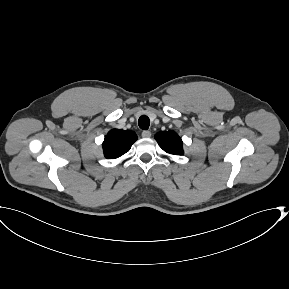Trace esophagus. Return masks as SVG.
<instances>
[{
    "label": "esophagus",
    "mask_w": 289,
    "mask_h": 289,
    "mask_svg": "<svg viewBox=\"0 0 289 289\" xmlns=\"http://www.w3.org/2000/svg\"><path fill=\"white\" fill-rule=\"evenodd\" d=\"M142 137H143V138H149V137H151V132L148 131V130L143 131V132H142Z\"/></svg>",
    "instance_id": "esophagus-1"
}]
</instances>
